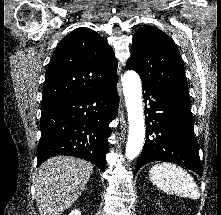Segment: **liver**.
I'll return each instance as SVG.
<instances>
[{
  "instance_id": "obj_1",
  "label": "liver",
  "mask_w": 221,
  "mask_h": 215,
  "mask_svg": "<svg viewBox=\"0 0 221 215\" xmlns=\"http://www.w3.org/2000/svg\"><path fill=\"white\" fill-rule=\"evenodd\" d=\"M93 172L92 164L70 156L46 160L35 178L40 215H60L81 196Z\"/></svg>"
}]
</instances>
